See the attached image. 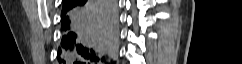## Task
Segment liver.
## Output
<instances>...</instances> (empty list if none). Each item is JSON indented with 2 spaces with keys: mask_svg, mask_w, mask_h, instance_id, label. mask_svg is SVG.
<instances>
[{
  "mask_svg": "<svg viewBox=\"0 0 242 64\" xmlns=\"http://www.w3.org/2000/svg\"><path fill=\"white\" fill-rule=\"evenodd\" d=\"M91 24L99 31V32H103L106 30V27H104L102 24L98 23L100 22L97 19V14L96 12L93 13L92 18L90 19Z\"/></svg>",
  "mask_w": 242,
  "mask_h": 64,
  "instance_id": "liver-1",
  "label": "liver"
}]
</instances>
